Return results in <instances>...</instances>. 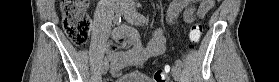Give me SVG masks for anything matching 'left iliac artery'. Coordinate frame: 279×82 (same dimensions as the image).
<instances>
[{"label":"left iliac artery","instance_id":"44dca946","mask_svg":"<svg viewBox=\"0 0 279 82\" xmlns=\"http://www.w3.org/2000/svg\"><path fill=\"white\" fill-rule=\"evenodd\" d=\"M137 18L140 22H145L147 20L146 17L139 12L137 13ZM175 63H176L177 66L182 67V62L180 60H176ZM165 69L169 71L170 67L166 66Z\"/></svg>","mask_w":279,"mask_h":82}]
</instances>
